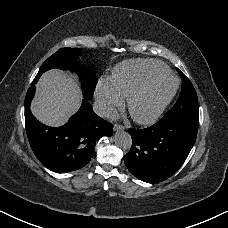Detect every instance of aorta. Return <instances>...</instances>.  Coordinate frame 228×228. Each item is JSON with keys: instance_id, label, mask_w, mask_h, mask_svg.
Here are the masks:
<instances>
[{"instance_id": "1", "label": "aorta", "mask_w": 228, "mask_h": 228, "mask_svg": "<svg viewBox=\"0 0 228 228\" xmlns=\"http://www.w3.org/2000/svg\"><path fill=\"white\" fill-rule=\"evenodd\" d=\"M114 142L119 148L123 150L130 149L132 145L131 136L125 131L117 132L114 135Z\"/></svg>"}]
</instances>
